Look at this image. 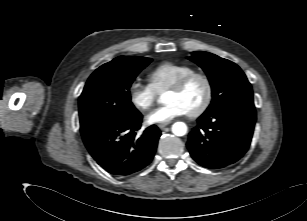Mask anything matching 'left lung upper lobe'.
Segmentation results:
<instances>
[{
	"mask_svg": "<svg viewBox=\"0 0 307 221\" xmlns=\"http://www.w3.org/2000/svg\"><path fill=\"white\" fill-rule=\"evenodd\" d=\"M190 60L206 72L212 88V101L206 111L218 110L229 103L253 101V92L243 71L233 62L202 51Z\"/></svg>",
	"mask_w": 307,
	"mask_h": 221,
	"instance_id": "1",
	"label": "left lung upper lobe"
}]
</instances>
